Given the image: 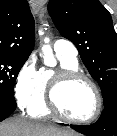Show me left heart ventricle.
Returning a JSON list of instances; mask_svg holds the SVG:
<instances>
[{
  "mask_svg": "<svg viewBox=\"0 0 117 136\" xmlns=\"http://www.w3.org/2000/svg\"><path fill=\"white\" fill-rule=\"evenodd\" d=\"M59 100L66 114L78 119L89 118L96 109V96L91 86L84 81H76L66 86Z\"/></svg>",
  "mask_w": 117,
  "mask_h": 136,
  "instance_id": "b2bd125f",
  "label": "left heart ventricle"
}]
</instances>
